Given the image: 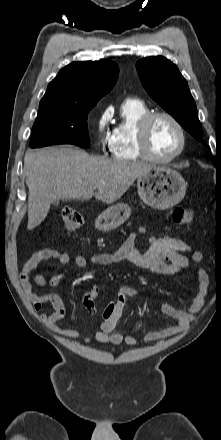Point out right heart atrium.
<instances>
[{
	"mask_svg": "<svg viewBox=\"0 0 221 440\" xmlns=\"http://www.w3.org/2000/svg\"><path fill=\"white\" fill-rule=\"evenodd\" d=\"M112 118V111L110 108L103 110L96 120V130L98 139L103 148L109 147L112 132L110 130V121Z\"/></svg>",
	"mask_w": 221,
	"mask_h": 440,
	"instance_id": "obj_1",
	"label": "right heart atrium"
}]
</instances>
